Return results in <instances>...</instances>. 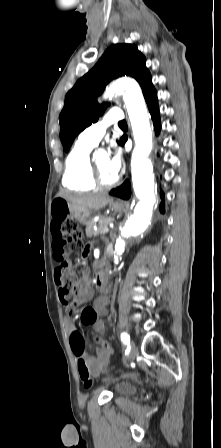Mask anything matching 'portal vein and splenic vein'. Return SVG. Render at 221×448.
I'll use <instances>...</instances> for the list:
<instances>
[{
  "label": "portal vein and splenic vein",
  "instance_id": "1",
  "mask_svg": "<svg viewBox=\"0 0 221 448\" xmlns=\"http://www.w3.org/2000/svg\"><path fill=\"white\" fill-rule=\"evenodd\" d=\"M108 232H109V227L105 226L103 229L100 230L99 233L102 235V234H105V233H108Z\"/></svg>",
  "mask_w": 221,
  "mask_h": 448
}]
</instances>
